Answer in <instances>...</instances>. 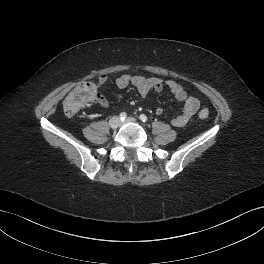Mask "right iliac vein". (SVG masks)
Masks as SVG:
<instances>
[{
  "mask_svg": "<svg viewBox=\"0 0 264 264\" xmlns=\"http://www.w3.org/2000/svg\"><path fill=\"white\" fill-rule=\"evenodd\" d=\"M109 126L112 128V129H116L120 126V120L118 117H112L110 120H109Z\"/></svg>",
  "mask_w": 264,
  "mask_h": 264,
  "instance_id": "right-iliac-vein-1",
  "label": "right iliac vein"
}]
</instances>
